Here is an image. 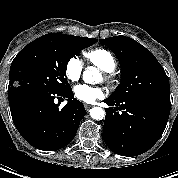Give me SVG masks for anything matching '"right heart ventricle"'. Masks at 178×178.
<instances>
[{
    "label": "right heart ventricle",
    "instance_id": "1",
    "mask_svg": "<svg viewBox=\"0 0 178 178\" xmlns=\"http://www.w3.org/2000/svg\"><path fill=\"white\" fill-rule=\"evenodd\" d=\"M89 63L105 72H112L116 67V60L113 54L104 48H95L85 52Z\"/></svg>",
    "mask_w": 178,
    "mask_h": 178
}]
</instances>
